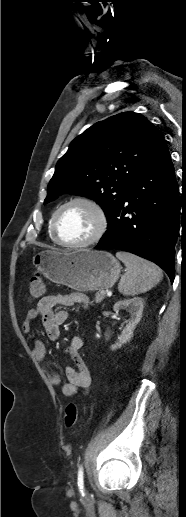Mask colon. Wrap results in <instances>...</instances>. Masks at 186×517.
<instances>
[{
  "label": "colon",
  "instance_id": "obj_1",
  "mask_svg": "<svg viewBox=\"0 0 186 517\" xmlns=\"http://www.w3.org/2000/svg\"><path fill=\"white\" fill-rule=\"evenodd\" d=\"M29 298L31 301L40 299L44 294V284L38 273H34L29 281ZM78 419V407L75 403H70L65 411L64 422L66 427H73Z\"/></svg>",
  "mask_w": 186,
  "mask_h": 517
}]
</instances>
